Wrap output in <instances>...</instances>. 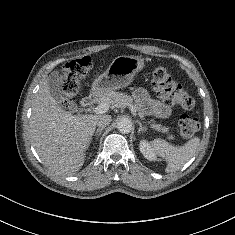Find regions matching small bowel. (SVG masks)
<instances>
[{
    "label": "small bowel",
    "instance_id": "small-bowel-1",
    "mask_svg": "<svg viewBox=\"0 0 235 235\" xmlns=\"http://www.w3.org/2000/svg\"><path fill=\"white\" fill-rule=\"evenodd\" d=\"M133 96L139 107L146 113L158 118H167L170 116V107L164 102L151 98L145 89H136Z\"/></svg>",
    "mask_w": 235,
    "mask_h": 235
}]
</instances>
